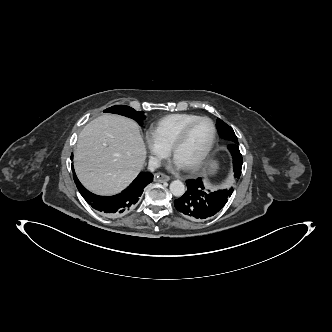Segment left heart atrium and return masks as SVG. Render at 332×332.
<instances>
[{"label":"left heart atrium","instance_id":"1","mask_svg":"<svg viewBox=\"0 0 332 332\" xmlns=\"http://www.w3.org/2000/svg\"><path fill=\"white\" fill-rule=\"evenodd\" d=\"M173 164L176 168H182V164L174 158Z\"/></svg>","mask_w":332,"mask_h":332}]
</instances>
